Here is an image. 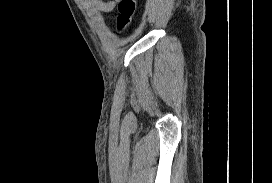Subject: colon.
Wrapping results in <instances>:
<instances>
[{"mask_svg": "<svg viewBox=\"0 0 272 183\" xmlns=\"http://www.w3.org/2000/svg\"><path fill=\"white\" fill-rule=\"evenodd\" d=\"M136 8V0H118L117 26L120 31L124 30L129 24Z\"/></svg>", "mask_w": 272, "mask_h": 183, "instance_id": "colon-1", "label": "colon"}]
</instances>
